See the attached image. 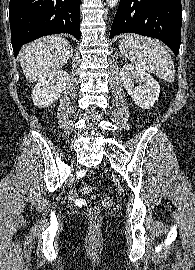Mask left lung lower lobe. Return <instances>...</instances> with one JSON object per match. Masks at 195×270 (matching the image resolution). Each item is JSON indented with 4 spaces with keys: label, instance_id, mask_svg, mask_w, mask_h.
Returning a JSON list of instances; mask_svg holds the SVG:
<instances>
[{
    "label": "left lung lower lobe",
    "instance_id": "0a47b994",
    "mask_svg": "<svg viewBox=\"0 0 195 270\" xmlns=\"http://www.w3.org/2000/svg\"><path fill=\"white\" fill-rule=\"evenodd\" d=\"M180 0H120L110 37L132 32L160 39L178 55L181 43Z\"/></svg>",
    "mask_w": 195,
    "mask_h": 270
}]
</instances>
